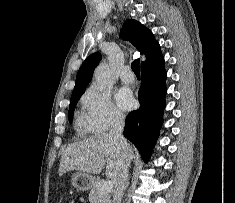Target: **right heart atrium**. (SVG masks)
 Listing matches in <instances>:
<instances>
[{
  "mask_svg": "<svg viewBox=\"0 0 235 203\" xmlns=\"http://www.w3.org/2000/svg\"><path fill=\"white\" fill-rule=\"evenodd\" d=\"M85 127L95 133L107 131L120 124L123 113L114 105L108 91L97 85L86 89L81 98Z\"/></svg>",
  "mask_w": 235,
  "mask_h": 203,
  "instance_id": "right-heart-atrium-1",
  "label": "right heart atrium"
}]
</instances>
